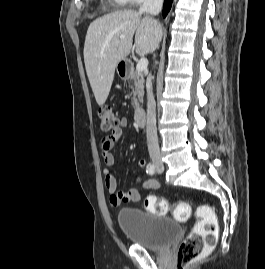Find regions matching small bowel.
<instances>
[{
  "instance_id": "1",
  "label": "small bowel",
  "mask_w": 265,
  "mask_h": 269,
  "mask_svg": "<svg viewBox=\"0 0 265 269\" xmlns=\"http://www.w3.org/2000/svg\"><path fill=\"white\" fill-rule=\"evenodd\" d=\"M128 120L122 118L120 122V127L113 131L110 136L105 137L101 143V152L105 162L106 167L103 170L105 176V186L110 193V203L113 206H119L123 202H139L142 198V194L137 189V187L132 186L127 190L117 191V183L115 177L110 173V167L115 163V156L113 154V148L122 135L123 128L127 127ZM139 168L143 169L146 166V161L144 159H139L137 162ZM141 181V178H138ZM142 185L146 190H157L160 184L157 180L153 178H145L142 180Z\"/></svg>"
}]
</instances>
